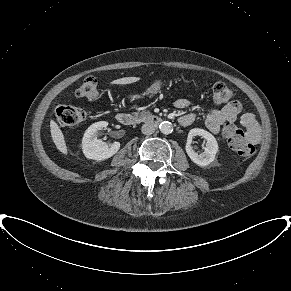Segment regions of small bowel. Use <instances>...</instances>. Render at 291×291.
I'll use <instances>...</instances> for the list:
<instances>
[{"mask_svg": "<svg viewBox=\"0 0 291 291\" xmlns=\"http://www.w3.org/2000/svg\"><path fill=\"white\" fill-rule=\"evenodd\" d=\"M189 105L190 102L185 98H180L175 101V107L178 109H185ZM241 110V104L237 101L229 102L221 109H211L207 114L205 125L210 132L218 134L226 122H234L239 117ZM194 120L195 114L193 112H187L179 118V123L183 126H189ZM240 121L246 129L249 141L256 144L260 140L261 132L254 115L251 113L242 114Z\"/></svg>", "mask_w": 291, "mask_h": 291, "instance_id": "obj_1", "label": "small bowel"}]
</instances>
